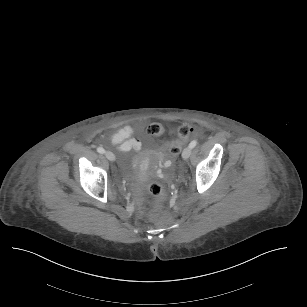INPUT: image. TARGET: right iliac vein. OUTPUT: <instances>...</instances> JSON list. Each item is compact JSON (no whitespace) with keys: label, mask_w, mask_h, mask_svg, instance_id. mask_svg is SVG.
I'll list each match as a JSON object with an SVG mask.
<instances>
[{"label":"right iliac vein","mask_w":307,"mask_h":307,"mask_svg":"<svg viewBox=\"0 0 307 307\" xmlns=\"http://www.w3.org/2000/svg\"><path fill=\"white\" fill-rule=\"evenodd\" d=\"M105 156H106V158H107L109 161H114V160H115L114 154H113L112 152H110V151H106V152H105Z\"/></svg>","instance_id":"obj_1"}]
</instances>
